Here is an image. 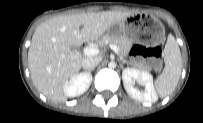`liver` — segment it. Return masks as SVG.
Returning a JSON list of instances; mask_svg holds the SVG:
<instances>
[{
	"instance_id": "6515ba94",
	"label": "liver",
	"mask_w": 203,
	"mask_h": 123,
	"mask_svg": "<svg viewBox=\"0 0 203 123\" xmlns=\"http://www.w3.org/2000/svg\"><path fill=\"white\" fill-rule=\"evenodd\" d=\"M130 15L126 11L61 15L40 24L28 51V67L36 89L53 103L65 102L63 87L78 74L84 59L71 47L98 40Z\"/></svg>"
}]
</instances>
